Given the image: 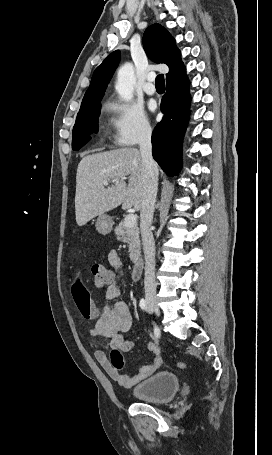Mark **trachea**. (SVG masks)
<instances>
[{"label":"trachea","mask_w":272,"mask_h":455,"mask_svg":"<svg viewBox=\"0 0 272 455\" xmlns=\"http://www.w3.org/2000/svg\"><path fill=\"white\" fill-rule=\"evenodd\" d=\"M155 85H156V87H165V80H164V75L163 74H159L156 77Z\"/></svg>","instance_id":"1"}]
</instances>
